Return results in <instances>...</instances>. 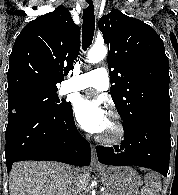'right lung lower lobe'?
Listing matches in <instances>:
<instances>
[{"label":"right lung lower lobe","mask_w":178,"mask_h":195,"mask_svg":"<svg viewBox=\"0 0 178 195\" xmlns=\"http://www.w3.org/2000/svg\"><path fill=\"white\" fill-rule=\"evenodd\" d=\"M90 144L79 134L71 106L62 111L16 108L9 111L5 158L7 171L24 160L90 164Z\"/></svg>","instance_id":"1"}]
</instances>
